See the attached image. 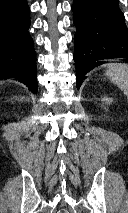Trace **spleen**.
I'll return each instance as SVG.
<instances>
[{
  "mask_svg": "<svg viewBox=\"0 0 128 213\" xmlns=\"http://www.w3.org/2000/svg\"><path fill=\"white\" fill-rule=\"evenodd\" d=\"M105 76L117 85L128 98V65L124 63H111Z\"/></svg>",
  "mask_w": 128,
  "mask_h": 213,
  "instance_id": "spleen-1",
  "label": "spleen"
}]
</instances>
